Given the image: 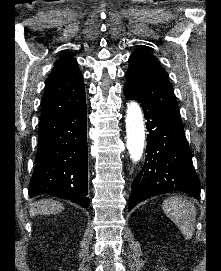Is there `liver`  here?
<instances>
[{"label": "liver", "instance_id": "6515ba94", "mask_svg": "<svg viewBox=\"0 0 221 271\" xmlns=\"http://www.w3.org/2000/svg\"><path fill=\"white\" fill-rule=\"evenodd\" d=\"M65 209L63 203L60 201H55V199H40V201H35V203H31L29 213L31 217L33 215H47V213H60Z\"/></svg>", "mask_w": 221, "mask_h": 271}]
</instances>
